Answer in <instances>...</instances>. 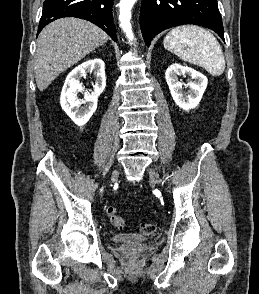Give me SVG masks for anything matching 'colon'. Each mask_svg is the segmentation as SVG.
Returning <instances> with one entry per match:
<instances>
[{
    "instance_id": "obj_1",
    "label": "colon",
    "mask_w": 259,
    "mask_h": 294,
    "mask_svg": "<svg viewBox=\"0 0 259 294\" xmlns=\"http://www.w3.org/2000/svg\"><path fill=\"white\" fill-rule=\"evenodd\" d=\"M106 213L112 225H114L117 228L124 227V220L120 217L117 208L108 207ZM157 230V225L152 223H144L138 227V234L140 236H152L156 234Z\"/></svg>"
}]
</instances>
